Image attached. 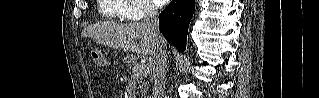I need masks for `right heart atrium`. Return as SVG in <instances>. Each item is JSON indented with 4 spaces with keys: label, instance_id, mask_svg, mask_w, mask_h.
<instances>
[{
    "label": "right heart atrium",
    "instance_id": "right-heart-atrium-1",
    "mask_svg": "<svg viewBox=\"0 0 319 98\" xmlns=\"http://www.w3.org/2000/svg\"><path fill=\"white\" fill-rule=\"evenodd\" d=\"M130 8L124 15V18L131 20H139L144 17H152L156 15L157 9L148 0H129Z\"/></svg>",
    "mask_w": 319,
    "mask_h": 98
}]
</instances>
